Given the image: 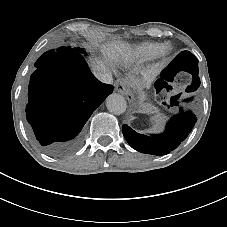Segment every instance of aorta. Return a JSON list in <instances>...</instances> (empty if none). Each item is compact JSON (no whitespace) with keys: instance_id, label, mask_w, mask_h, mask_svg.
<instances>
[{"instance_id":"1","label":"aorta","mask_w":227,"mask_h":227,"mask_svg":"<svg viewBox=\"0 0 227 227\" xmlns=\"http://www.w3.org/2000/svg\"><path fill=\"white\" fill-rule=\"evenodd\" d=\"M106 107L109 112L115 115H120L126 111L127 104L122 95L113 93L106 99Z\"/></svg>"}]
</instances>
